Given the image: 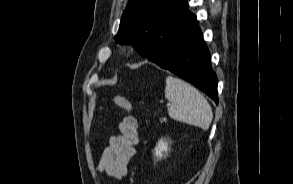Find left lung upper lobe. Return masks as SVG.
Here are the masks:
<instances>
[{"mask_svg":"<svg viewBox=\"0 0 293 184\" xmlns=\"http://www.w3.org/2000/svg\"><path fill=\"white\" fill-rule=\"evenodd\" d=\"M184 0H130L123 12L115 40L132 43L143 56L151 57L148 46L166 31L171 16Z\"/></svg>","mask_w":293,"mask_h":184,"instance_id":"obj_1","label":"left lung upper lobe"}]
</instances>
